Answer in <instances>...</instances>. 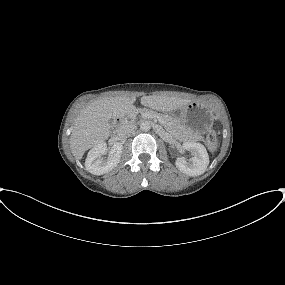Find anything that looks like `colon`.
Wrapping results in <instances>:
<instances>
[{
    "label": "colon",
    "instance_id": "5ec220e1",
    "mask_svg": "<svg viewBox=\"0 0 285 285\" xmlns=\"http://www.w3.org/2000/svg\"><path fill=\"white\" fill-rule=\"evenodd\" d=\"M206 142H207V146L210 149H214L216 147L217 137H216V133L213 130H210L207 133V135H206Z\"/></svg>",
    "mask_w": 285,
    "mask_h": 285
}]
</instances>
